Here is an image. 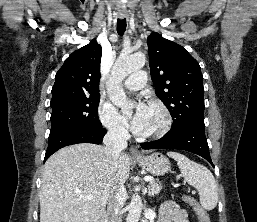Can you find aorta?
Wrapping results in <instances>:
<instances>
[{
	"mask_svg": "<svg viewBox=\"0 0 257 222\" xmlns=\"http://www.w3.org/2000/svg\"><path fill=\"white\" fill-rule=\"evenodd\" d=\"M146 62V57L143 53L137 52L134 54L122 53L115 62L109 80L106 83L107 92L111 102L121 108L123 112H129L132 108V103L122 88V81L132 72L141 69ZM142 199L138 194H134L128 206V216L126 222H138L142 212Z\"/></svg>",
	"mask_w": 257,
	"mask_h": 222,
	"instance_id": "aorta-1",
	"label": "aorta"
}]
</instances>
